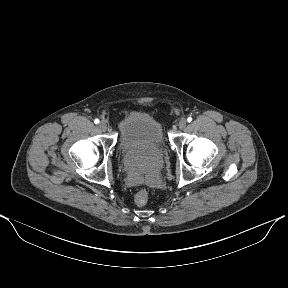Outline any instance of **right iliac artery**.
Wrapping results in <instances>:
<instances>
[{"instance_id": "82829eb1", "label": "right iliac artery", "mask_w": 288, "mask_h": 288, "mask_svg": "<svg viewBox=\"0 0 288 288\" xmlns=\"http://www.w3.org/2000/svg\"><path fill=\"white\" fill-rule=\"evenodd\" d=\"M99 122H100L99 119H95V120H94V123H95V124H99Z\"/></svg>"}]
</instances>
